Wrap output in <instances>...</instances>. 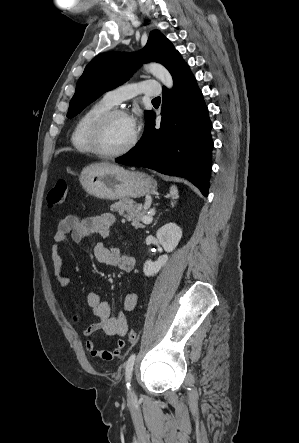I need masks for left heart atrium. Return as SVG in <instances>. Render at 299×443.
<instances>
[{"instance_id": "1", "label": "left heart atrium", "mask_w": 299, "mask_h": 443, "mask_svg": "<svg viewBox=\"0 0 299 443\" xmlns=\"http://www.w3.org/2000/svg\"><path fill=\"white\" fill-rule=\"evenodd\" d=\"M129 120H130V123H131L132 127L134 129H136V127H137V118H136V116L129 117Z\"/></svg>"}]
</instances>
